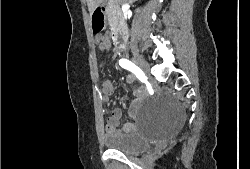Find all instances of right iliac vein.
Listing matches in <instances>:
<instances>
[{
  "instance_id": "right-iliac-vein-1",
  "label": "right iliac vein",
  "mask_w": 250,
  "mask_h": 169,
  "mask_svg": "<svg viewBox=\"0 0 250 169\" xmlns=\"http://www.w3.org/2000/svg\"><path fill=\"white\" fill-rule=\"evenodd\" d=\"M133 61L143 70L147 71L149 69L148 64L139 56H134Z\"/></svg>"
}]
</instances>
